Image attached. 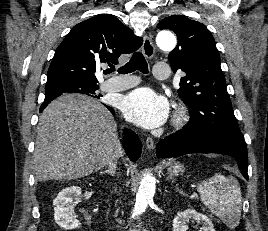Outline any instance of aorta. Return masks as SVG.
<instances>
[{"label": "aorta", "instance_id": "aorta-1", "mask_svg": "<svg viewBox=\"0 0 268 231\" xmlns=\"http://www.w3.org/2000/svg\"><path fill=\"white\" fill-rule=\"evenodd\" d=\"M158 46L165 51L172 50L176 45V38L170 32H160L157 36ZM156 189V178L152 173L144 174L138 192L136 194V202L132 212V218L142 214L148 204L153 200Z\"/></svg>", "mask_w": 268, "mask_h": 231}]
</instances>
